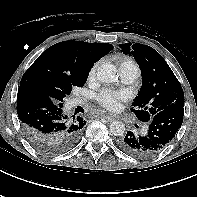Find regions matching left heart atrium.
<instances>
[{"label":"left heart atrium","mask_w":197,"mask_h":197,"mask_svg":"<svg viewBox=\"0 0 197 197\" xmlns=\"http://www.w3.org/2000/svg\"><path fill=\"white\" fill-rule=\"evenodd\" d=\"M97 102L106 109L117 110L121 106V102L127 99L124 91L113 89H103L96 96Z\"/></svg>","instance_id":"1"}]
</instances>
